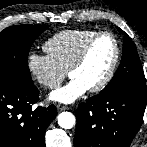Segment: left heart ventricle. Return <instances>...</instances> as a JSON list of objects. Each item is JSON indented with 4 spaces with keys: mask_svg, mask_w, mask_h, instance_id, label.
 I'll return each mask as SVG.
<instances>
[{
    "mask_svg": "<svg viewBox=\"0 0 147 147\" xmlns=\"http://www.w3.org/2000/svg\"><path fill=\"white\" fill-rule=\"evenodd\" d=\"M115 55V47L109 36L96 40L85 62L70 75L77 78L88 88L97 85L107 74Z\"/></svg>",
    "mask_w": 147,
    "mask_h": 147,
    "instance_id": "b2bd125f",
    "label": "left heart ventricle"
}]
</instances>
